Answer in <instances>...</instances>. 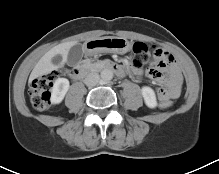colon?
I'll use <instances>...</instances> for the list:
<instances>
[{"instance_id": "colon-1", "label": "colon", "mask_w": 219, "mask_h": 174, "mask_svg": "<svg viewBox=\"0 0 219 174\" xmlns=\"http://www.w3.org/2000/svg\"><path fill=\"white\" fill-rule=\"evenodd\" d=\"M154 58L153 50L144 42H136L133 45L132 64L136 68H141L149 64ZM59 77L58 71L48 72L40 77L34 78L29 84V97L32 106L39 111L48 108L50 100V88ZM171 101L159 99V107L168 109Z\"/></svg>"}]
</instances>
